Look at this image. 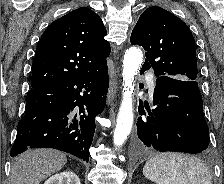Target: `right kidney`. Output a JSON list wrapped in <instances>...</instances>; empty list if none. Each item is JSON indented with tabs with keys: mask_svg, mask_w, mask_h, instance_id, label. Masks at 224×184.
<instances>
[{
	"mask_svg": "<svg viewBox=\"0 0 224 184\" xmlns=\"http://www.w3.org/2000/svg\"><path fill=\"white\" fill-rule=\"evenodd\" d=\"M44 184H81L79 177L71 172L65 171L53 175L45 181Z\"/></svg>",
	"mask_w": 224,
	"mask_h": 184,
	"instance_id": "1",
	"label": "right kidney"
}]
</instances>
